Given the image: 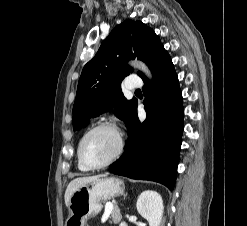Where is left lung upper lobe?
<instances>
[{
  "instance_id": "1",
  "label": "left lung upper lobe",
  "mask_w": 247,
  "mask_h": 226,
  "mask_svg": "<svg viewBox=\"0 0 247 226\" xmlns=\"http://www.w3.org/2000/svg\"><path fill=\"white\" fill-rule=\"evenodd\" d=\"M162 48L159 37L141 21L128 19L116 26L82 70L73 106L74 131L112 108L128 125L137 100H126L121 92V81L132 72L126 61L137 58L150 67ZM138 75L144 76L140 71Z\"/></svg>"
}]
</instances>
